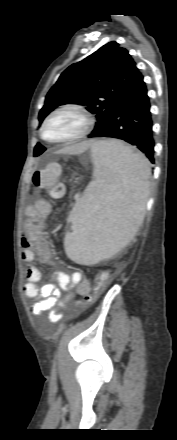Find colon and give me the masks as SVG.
<instances>
[{"label":"colon","mask_w":177,"mask_h":440,"mask_svg":"<svg viewBox=\"0 0 177 440\" xmlns=\"http://www.w3.org/2000/svg\"><path fill=\"white\" fill-rule=\"evenodd\" d=\"M61 168L58 164H51L44 170H37L33 173L32 181L35 187L45 190L51 197L60 198L64 194V186L60 182ZM102 287L97 285L92 294L84 296L83 303H92L101 293ZM73 308L76 311L81 310V301L78 299Z\"/></svg>","instance_id":"colon-1"}]
</instances>
